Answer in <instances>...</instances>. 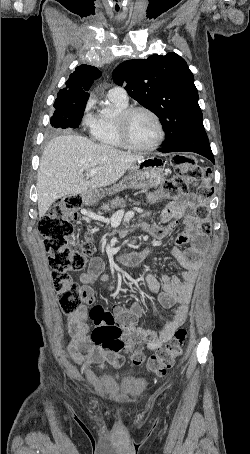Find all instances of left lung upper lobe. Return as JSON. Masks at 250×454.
<instances>
[{
	"label": "left lung upper lobe",
	"instance_id": "left-lung-upper-lobe-1",
	"mask_svg": "<svg viewBox=\"0 0 250 454\" xmlns=\"http://www.w3.org/2000/svg\"><path fill=\"white\" fill-rule=\"evenodd\" d=\"M113 79L159 117L165 131L162 147L204 130L194 76L176 53L125 61L114 70Z\"/></svg>",
	"mask_w": 250,
	"mask_h": 454
}]
</instances>
